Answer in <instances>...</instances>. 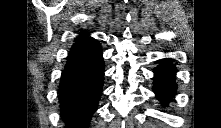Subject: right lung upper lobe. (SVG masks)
Here are the masks:
<instances>
[{
	"label": "right lung upper lobe",
	"mask_w": 221,
	"mask_h": 128,
	"mask_svg": "<svg viewBox=\"0 0 221 128\" xmlns=\"http://www.w3.org/2000/svg\"><path fill=\"white\" fill-rule=\"evenodd\" d=\"M88 32L84 31V32H81L80 35L75 39V41H78V40H81V39H85L88 37Z\"/></svg>",
	"instance_id": "right-lung-upper-lobe-1"
}]
</instances>
